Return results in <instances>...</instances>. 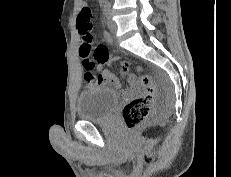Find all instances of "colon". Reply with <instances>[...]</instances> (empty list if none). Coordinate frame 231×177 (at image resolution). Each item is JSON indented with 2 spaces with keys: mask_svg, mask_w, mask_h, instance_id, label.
I'll return each instance as SVG.
<instances>
[{
  "mask_svg": "<svg viewBox=\"0 0 231 177\" xmlns=\"http://www.w3.org/2000/svg\"><path fill=\"white\" fill-rule=\"evenodd\" d=\"M77 28L82 36L79 53L83 58V66L86 70L84 79L87 85H94L98 82V75L95 76L92 73L96 63L117 61L120 63L122 72H129L128 62L120 60L117 56H111L104 46L94 45L92 11L89 7L80 11L77 18ZM137 80L141 87V93L128 101L122 110L124 122L130 130L140 126L145 121L157 97L156 85L149 75L141 74Z\"/></svg>",
  "mask_w": 231,
  "mask_h": 177,
  "instance_id": "5ec220e1",
  "label": "colon"
}]
</instances>
